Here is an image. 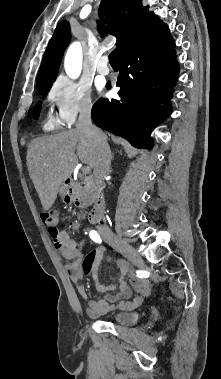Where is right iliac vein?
Listing matches in <instances>:
<instances>
[{"mask_svg":"<svg viewBox=\"0 0 221 379\" xmlns=\"http://www.w3.org/2000/svg\"><path fill=\"white\" fill-rule=\"evenodd\" d=\"M106 240L110 245H112L115 249L122 252L127 257L133 259L136 262H142L141 257L136 252V250L128 244L126 241L122 240L116 235H108Z\"/></svg>","mask_w":221,"mask_h":379,"instance_id":"obj_1","label":"right iliac vein"}]
</instances>
